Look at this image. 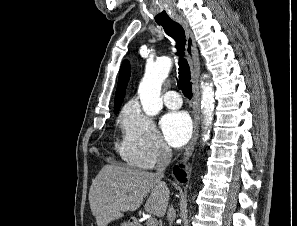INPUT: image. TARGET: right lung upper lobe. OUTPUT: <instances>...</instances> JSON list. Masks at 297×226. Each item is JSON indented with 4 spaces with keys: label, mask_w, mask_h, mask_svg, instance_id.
Listing matches in <instances>:
<instances>
[{
    "label": "right lung upper lobe",
    "mask_w": 297,
    "mask_h": 226,
    "mask_svg": "<svg viewBox=\"0 0 297 226\" xmlns=\"http://www.w3.org/2000/svg\"><path fill=\"white\" fill-rule=\"evenodd\" d=\"M129 78H130V64L127 60H125L122 63L120 68L119 80H118V85H117L116 95H115L114 109L120 107L122 104Z\"/></svg>",
    "instance_id": "obj_1"
}]
</instances>
